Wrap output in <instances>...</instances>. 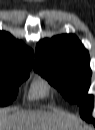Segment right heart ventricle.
<instances>
[{
	"mask_svg": "<svg viewBox=\"0 0 95 130\" xmlns=\"http://www.w3.org/2000/svg\"><path fill=\"white\" fill-rule=\"evenodd\" d=\"M49 94V86L47 82L43 79L36 80L30 90V97L35 98H43L48 96Z\"/></svg>",
	"mask_w": 95,
	"mask_h": 130,
	"instance_id": "right-heart-ventricle-1",
	"label": "right heart ventricle"
}]
</instances>
